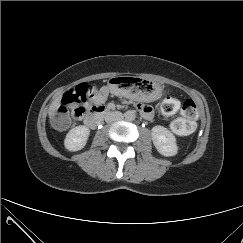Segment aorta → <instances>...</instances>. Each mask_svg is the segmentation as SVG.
Returning <instances> with one entry per match:
<instances>
[{"mask_svg":"<svg viewBox=\"0 0 243 243\" xmlns=\"http://www.w3.org/2000/svg\"><path fill=\"white\" fill-rule=\"evenodd\" d=\"M124 116L126 120L133 121L136 118V112L135 110H128L125 112Z\"/></svg>","mask_w":243,"mask_h":243,"instance_id":"aorta-1","label":"aorta"}]
</instances>
